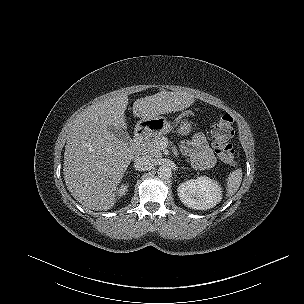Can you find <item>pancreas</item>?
<instances>
[{
  "mask_svg": "<svg viewBox=\"0 0 304 304\" xmlns=\"http://www.w3.org/2000/svg\"><path fill=\"white\" fill-rule=\"evenodd\" d=\"M165 139L164 136H155L154 138H152L151 140H149L147 143H146V151L147 152H151V153H155V147L157 145V143H159L160 141H163ZM172 145V144H171ZM174 148L175 150L177 151L176 149V146L174 145Z\"/></svg>",
  "mask_w": 304,
  "mask_h": 304,
  "instance_id": "cf45deb5",
  "label": "pancreas"
}]
</instances>
